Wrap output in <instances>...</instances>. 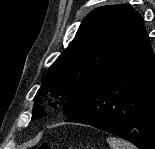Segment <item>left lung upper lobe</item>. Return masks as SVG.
Returning <instances> with one entry per match:
<instances>
[{"label":"left lung upper lobe","instance_id":"obj_1","mask_svg":"<svg viewBox=\"0 0 155 149\" xmlns=\"http://www.w3.org/2000/svg\"><path fill=\"white\" fill-rule=\"evenodd\" d=\"M142 19L125 5H108L90 12L75 38L50 67L35 97L32 119L46 116L41 96L62 107L70 117L83 103L89 88L108 70L133 28ZM50 101V99H49Z\"/></svg>","mask_w":155,"mask_h":149}]
</instances>
